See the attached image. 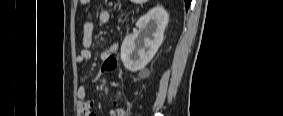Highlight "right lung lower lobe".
Listing matches in <instances>:
<instances>
[{
  "label": "right lung lower lobe",
  "mask_w": 283,
  "mask_h": 116,
  "mask_svg": "<svg viewBox=\"0 0 283 116\" xmlns=\"http://www.w3.org/2000/svg\"><path fill=\"white\" fill-rule=\"evenodd\" d=\"M185 3H186V10H187L190 6L191 0H185Z\"/></svg>",
  "instance_id": "obj_1"
}]
</instances>
